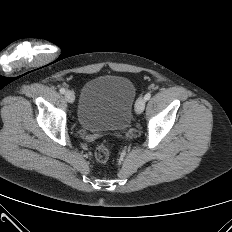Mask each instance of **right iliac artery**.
I'll return each mask as SVG.
<instances>
[{
    "mask_svg": "<svg viewBox=\"0 0 232 232\" xmlns=\"http://www.w3.org/2000/svg\"><path fill=\"white\" fill-rule=\"evenodd\" d=\"M59 91H60L61 94L65 93V89L64 88H61Z\"/></svg>",
    "mask_w": 232,
    "mask_h": 232,
    "instance_id": "82829eb1",
    "label": "right iliac artery"
}]
</instances>
